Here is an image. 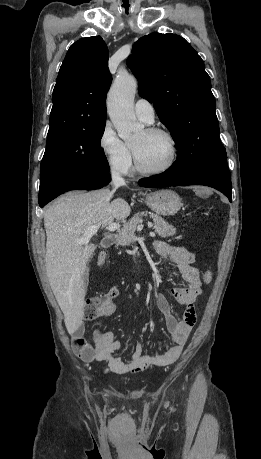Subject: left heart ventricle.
Returning a JSON list of instances; mask_svg holds the SVG:
<instances>
[{
    "label": "left heart ventricle",
    "mask_w": 261,
    "mask_h": 459,
    "mask_svg": "<svg viewBox=\"0 0 261 459\" xmlns=\"http://www.w3.org/2000/svg\"><path fill=\"white\" fill-rule=\"evenodd\" d=\"M140 165L155 169L167 163L170 157L169 141L162 135L140 132L131 142Z\"/></svg>",
    "instance_id": "left-heart-ventricle-1"
}]
</instances>
